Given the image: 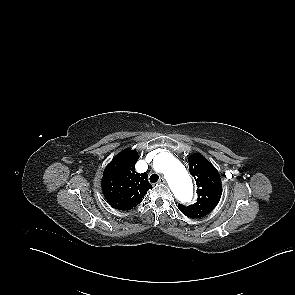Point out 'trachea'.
<instances>
[{"mask_svg": "<svg viewBox=\"0 0 295 295\" xmlns=\"http://www.w3.org/2000/svg\"><path fill=\"white\" fill-rule=\"evenodd\" d=\"M149 179L151 183H156L159 180V176L157 174H152Z\"/></svg>", "mask_w": 295, "mask_h": 295, "instance_id": "obj_1", "label": "trachea"}]
</instances>
